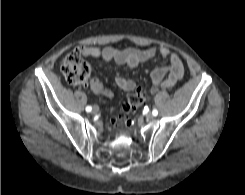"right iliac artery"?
I'll return each mask as SVG.
<instances>
[{"label": "right iliac artery", "instance_id": "obj_1", "mask_svg": "<svg viewBox=\"0 0 245 195\" xmlns=\"http://www.w3.org/2000/svg\"><path fill=\"white\" fill-rule=\"evenodd\" d=\"M91 110H92V107H91V106H87V107H86V111H87V112H91Z\"/></svg>", "mask_w": 245, "mask_h": 195}]
</instances>
